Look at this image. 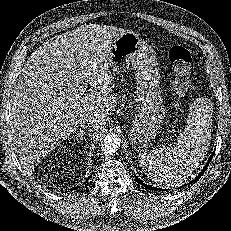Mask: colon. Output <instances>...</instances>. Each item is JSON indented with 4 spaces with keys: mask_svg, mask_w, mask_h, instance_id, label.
<instances>
[{
    "mask_svg": "<svg viewBox=\"0 0 231 231\" xmlns=\"http://www.w3.org/2000/svg\"><path fill=\"white\" fill-rule=\"evenodd\" d=\"M168 58L175 75V92L179 97H184L190 89L191 52L185 47L173 46L169 50Z\"/></svg>",
    "mask_w": 231,
    "mask_h": 231,
    "instance_id": "5ec220e1",
    "label": "colon"
}]
</instances>
